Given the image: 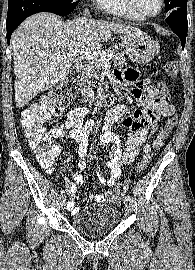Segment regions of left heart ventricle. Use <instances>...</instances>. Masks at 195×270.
<instances>
[{"instance_id": "obj_1", "label": "left heart ventricle", "mask_w": 195, "mask_h": 270, "mask_svg": "<svg viewBox=\"0 0 195 270\" xmlns=\"http://www.w3.org/2000/svg\"><path fill=\"white\" fill-rule=\"evenodd\" d=\"M133 3L141 14H153L159 9L160 0H133Z\"/></svg>"}]
</instances>
